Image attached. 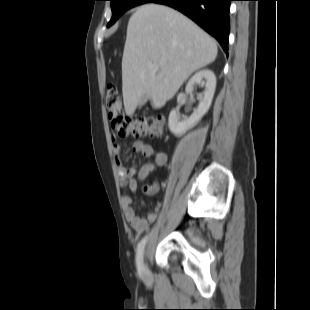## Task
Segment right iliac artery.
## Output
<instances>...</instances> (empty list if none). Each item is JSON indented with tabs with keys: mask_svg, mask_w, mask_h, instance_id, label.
<instances>
[{
	"mask_svg": "<svg viewBox=\"0 0 310 310\" xmlns=\"http://www.w3.org/2000/svg\"><path fill=\"white\" fill-rule=\"evenodd\" d=\"M148 240V235L144 236L142 240L139 242L136 251V266L140 275H142L143 270V252Z\"/></svg>",
	"mask_w": 310,
	"mask_h": 310,
	"instance_id": "82829eb1",
	"label": "right iliac artery"
}]
</instances>
